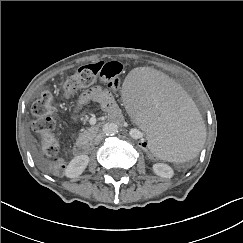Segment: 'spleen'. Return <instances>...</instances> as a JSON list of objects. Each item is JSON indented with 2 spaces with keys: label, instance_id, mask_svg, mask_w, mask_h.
<instances>
[{
  "label": "spleen",
  "instance_id": "spleen-1",
  "mask_svg": "<svg viewBox=\"0 0 243 243\" xmlns=\"http://www.w3.org/2000/svg\"><path fill=\"white\" fill-rule=\"evenodd\" d=\"M121 93L136 124L164 159L181 164L199 153L206 139L204 122L172 80L137 69L126 76Z\"/></svg>",
  "mask_w": 243,
  "mask_h": 243
}]
</instances>
